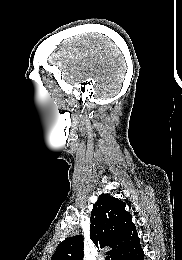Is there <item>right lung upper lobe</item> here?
<instances>
[{
    "instance_id": "1",
    "label": "right lung upper lobe",
    "mask_w": 182,
    "mask_h": 260,
    "mask_svg": "<svg viewBox=\"0 0 182 260\" xmlns=\"http://www.w3.org/2000/svg\"><path fill=\"white\" fill-rule=\"evenodd\" d=\"M125 203L107 194L99 196L91 211L90 238L97 247L109 246L111 260L139 240L132 216L125 211ZM83 237L65 239L51 260H83Z\"/></svg>"
}]
</instances>
